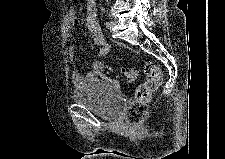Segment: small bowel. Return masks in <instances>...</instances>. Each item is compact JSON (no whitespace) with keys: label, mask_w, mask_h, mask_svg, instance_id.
I'll list each match as a JSON object with an SVG mask.
<instances>
[{"label":"small bowel","mask_w":225,"mask_h":159,"mask_svg":"<svg viewBox=\"0 0 225 159\" xmlns=\"http://www.w3.org/2000/svg\"><path fill=\"white\" fill-rule=\"evenodd\" d=\"M75 21H76V9L70 8L65 16V36L68 40H72V45L69 48L68 54L70 60L73 61L76 49V31H75ZM85 26L90 33L94 44L98 47L96 53L97 57H104L109 54L111 50L110 44L106 41L104 34L99 25L97 16L96 3L89 0L85 8ZM104 65L100 60H94L89 70L82 74L79 70H73L71 74L72 82L75 85H82L87 81H93L97 78L104 77Z\"/></svg>","instance_id":"1"}]
</instances>
